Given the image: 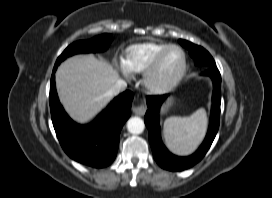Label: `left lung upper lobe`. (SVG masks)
<instances>
[{"mask_svg":"<svg viewBox=\"0 0 272 198\" xmlns=\"http://www.w3.org/2000/svg\"><path fill=\"white\" fill-rule=\"evenodd\" d=\"M179 43L189 50V54L195 59L197 65L216 67L215 61L212 56L201 46L181 39L179 40Z\"/></svg>","mask_w":272,"mask_h":198,"instance_id":"5c2ea615","label":"left lung upper lobe"}]
</instances>
